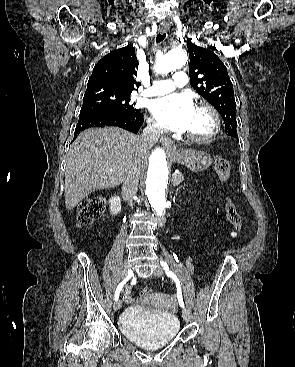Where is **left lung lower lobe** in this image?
I'll return each mask as SVG.
<instances>
[{
	"instance_id": "1",
	"label": "left lung lower lobe",
	"mask_w": 295,
	"mask_h": 367,
	"mask_svg": "<svg viewBox=\"0 0 295 367\" xmlns=\"http://www.w3.org/2000/svg\"><path fill=\"white\" fill-rule=\"evenodd\" d=\"M232 137H234V138H238V135H235V136H232Z\"/></svg>"
}]
</instances>
